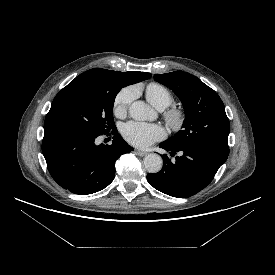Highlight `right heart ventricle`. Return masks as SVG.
Masks as SVG:
<instances>
[{"mask_svg": "<svg viewBox=\"0 0 275 275\" xmlns=\"http://www.w3.org/2000/svg\"><path fill=\"white\" fill-rule=\"evenodd\" d=\"M147 100L157 109H165L173 101L172 92L163 84L151 82L145 90Z\"/></svg>", "mask_w": 275, "mask_h": 275, "instance_id": "right-heart-ventricle-1", "label": "right heart ventricle"}]
</instances>
